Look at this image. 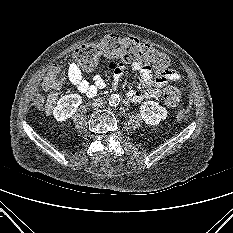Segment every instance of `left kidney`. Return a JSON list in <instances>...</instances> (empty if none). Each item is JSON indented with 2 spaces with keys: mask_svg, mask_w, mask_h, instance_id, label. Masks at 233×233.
Segmentation results:
<instances>
[{
  "mask_svg": "<svg viewBox=\"0 0 233 233\" xmlns=\"http://www.w3.org/2000/svg\"><path fill=\"white\" fill-rule=\"evenodd\" d=\"M167 110L157 102L148 101L140 106V114L145 123L149 125H158L161 120L167 117Z\"/></svg>",
  "mask_w": 233,
  "mask_h": 233,
  "instance_id": "1",
  "label": "left kidney"
}]
</instances>
